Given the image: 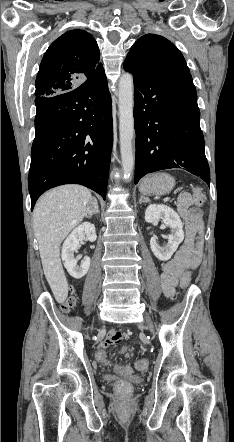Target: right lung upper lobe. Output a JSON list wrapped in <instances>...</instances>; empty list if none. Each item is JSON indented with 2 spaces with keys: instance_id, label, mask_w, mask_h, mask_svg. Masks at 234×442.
Returning <instances> with one entry per match:
<instances>
[{
  "instance_id": "cb5924a9",
  "label": "right lung upper lobe",
  "mask_w": 234,
  "mask_h": 442,
  "mask_svg": "<svg viewBox=\"0 0 234 442\" xmlns=\"http://www.w3.org/2000/svg\"><path fill=\"white\" fill-rule=\"evenodd\" d=\"M100 51L91 34L71 30L56 39L41 61L35 96H53L71 91L80 79L104 72Z\"/></svg>"
}]
</instances>
